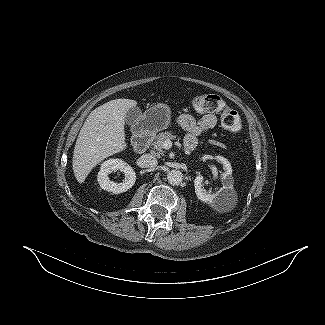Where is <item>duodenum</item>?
<instances>
[{
    "label": "duodenum",
    "instance_id": "1",
    "mask_svg": "<svg viewBox=\"0 0 325 325\" xmlns=\"http://www.w3.org/2000/svg\"><path fill=\"white\" fill-rule=\"evenodd\" d=\"M152 138V134L149 132H142L137 134L134 139H133V148L135 149L136 152L142 153L144 152ZM188 151L192 149L186 148Z\"/></svg>",
    "mask_w": 325,
    "mask_h": 325
}]
</instances>
